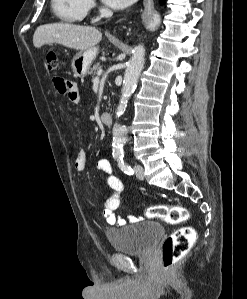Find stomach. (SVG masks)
Listing matches in <instances>:
<instances>
[{
	"label": "stomach",
	"instance_id": "stomach-1",
	"mask_svg": "<svg viewBox=\"0 0 247 299\" xmlns=\"http://www.w3.org/2000/svg\"><path fill=\"white\" fill-rule=\"evenodd\" d=\"M98 54L97 47H91L87 50L78 52L72 59V70L77 78H84Z\"/></svg>",
	"mask_w": 247,
	"mask_h": 299
}]
</instances>
